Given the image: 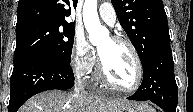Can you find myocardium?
I'll return each mask as SVG.
<instances>
[{"label": "myocardium", "mask_w": 193, "mask_h": 112, "mask_svg": "<svg viewBox=\"0 0 193 112\" xmlns=\"http://www.w3.org/2000/svg\"><path fill=\"white\" fill-rule=\"evenodd\" d=\"M110 39L113 42L124 44L130 49V51L133 55L134 61H135V65H136L135 81H134L133 85H131L130 87H121V86L117 85L116 83H114L107 75V73L104 69V66L102 64L101 58H99V61H98V74H99L100 78L102 79V81L106 85H108L109 87H111L112 89H114L116 91H119L122 93L135 92L136 90L139 89V87L141 86L142 81H143V66H142V62H141V58L139 56V53H138L136 47L134 46V44L130 40H128L124 37L113 36Z\"/></svg>", "instance_id": "obj_1"}]
</instances>
